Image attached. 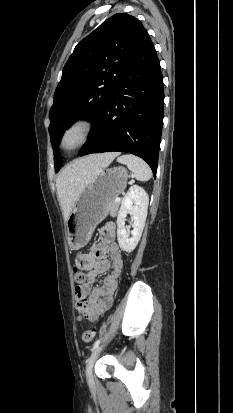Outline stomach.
<instances>
[{
  "instance_id": "obj_1",
  "label": "stomach",
  "mask_w": 233,
  "mask_h": 413,
  "mask_svg": "<svg viewBox=\"0 0 233 413\" xmlns=\"http://www.w3.org/2000/svg\"><path fill=\"white\" fill-rule=\"evenodd\" d=\"M128 177L124 167L104 169L84 188L66 221L72 249L88 243L96 226L108 215L111 202L125 190Z\"/></svg>"
}]
</instances>
